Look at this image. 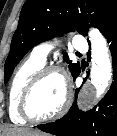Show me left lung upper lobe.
Segmentation results:
<instances>
[{"label": "left lung upper lobe", "instance_id": "obj_1", "mask_svg": "<svg viewBox=\"0 0 117 136\" xmlns=\"http://www.w3.org/2000/svg\"><path fill=\"white\" fill-rule=\"evenodd\" d=\"M116 17L117 0H27L5 62V83L35 45L74 30L87 36L89 26L103 33ZM64 60L70 62L66 54ZM69 69L74 78L80 72V64L71 63Z\"/></svg>", "mask_w": 117, "mask_h": 136}]
</instances>
